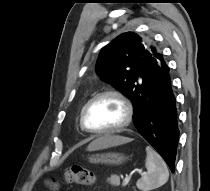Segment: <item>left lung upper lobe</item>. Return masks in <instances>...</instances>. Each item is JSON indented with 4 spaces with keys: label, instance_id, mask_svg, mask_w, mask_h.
Masks as SVG:
<instances>
[{
    "label": "left lung upper lobe",
    "instance_id": "obj_1",
    "mask_svg": "<svg viewBox=\"0 0 210 191\" xmlns=\"http://www.w3.org/2000/svg\"><path fill=\"white\" fill-rule=\"evenodd\" d=\"M165 64L153 46L138 34L126 32L101 49L96 70L132 101L135 117L141 96L154 87L155 74Z\"/></svg>",
    "mask_w": 210,
    "mask_h": 191
}]
</instances>
